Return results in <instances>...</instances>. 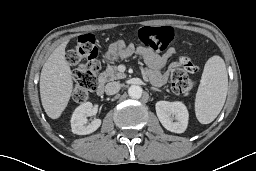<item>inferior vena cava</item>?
<instances>
[{
  "label": "inferior vena cava",
  "mask_w": 256,
  "mask_h": 171,
  "mask_svg": "<svg viewBox=\"0 0 256 171\" xmlns=\"http://www.w3.org/2000/svg\"><path fill=\"white\" fill-rule=\"evenodd\" d=\"M121 85L119 82H110L105 86V92L107 95H113L119 92Z\"/></svg>",
  "instance_id": "obj_1"
}]
</instances>
